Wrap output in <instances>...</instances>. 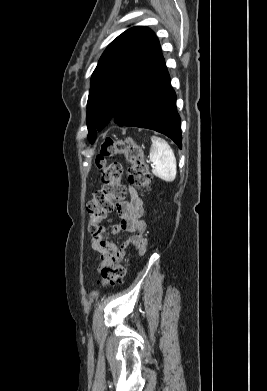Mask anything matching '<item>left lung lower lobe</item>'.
Instances as JSON below:
<instances>
[{
  "label": "left lung lower lobe",
  "instance_id": "left-lung-lower-lobe-1",
  "mask_svg": "<svg viewBox=\"0 0 267 391\" xmlns=\"http://www.w3.org/2000/svg\"><path fill=\"white\" fill-rule=\"evenodd\" d=\"M113 119L119 126L148 128L160 132L182 148L176 94L171 87L163 57L131 89ZM89 141L91 142L90 139Z\"/></svg>",
  "mask_w": 267,
  "mask_h": 391
}]
</instances>
